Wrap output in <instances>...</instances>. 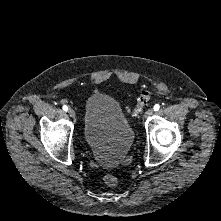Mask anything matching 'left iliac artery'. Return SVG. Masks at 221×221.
Here are the masks:
<instances>
[{
	"instance_id": "left-iliac-artery-1",
	"label": "left iliac artery",
	"mask_w": 221,
	"mask_h": 221,
	"mask_svg": "<svg viewBox=\"0 0 221 221\" xmlns=\"http://www.w3.org/2000/svg\"><path fill=\"white\" fill-rule=\"evenodd\" d=\"M159 108H160L159 104H155L154 107H153L154 111H158Z\"/></svg>"
}]
</instances>
